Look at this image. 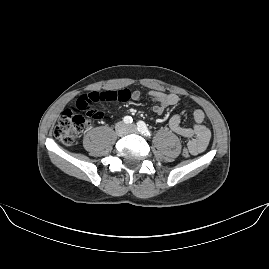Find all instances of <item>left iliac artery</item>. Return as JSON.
Listing matches in <instances>:
<instances>
[{
	"mask_svg": "<svg viewBox=\"0 0 269 269\" xmlns=\"http://www.w3.org/2000/svg\"><path fill=\"white\" fill-rule=\"evenodd\" d=\"M138 131L146 136H151L150 130L147 128L146 124L143 121L137 122Z\"/></svg>",
	"mask_w": 269,
	"mask_h": 269,
	"instance_id": "44dca946",
	"label": "left iliac artery"
}]
</instances>
